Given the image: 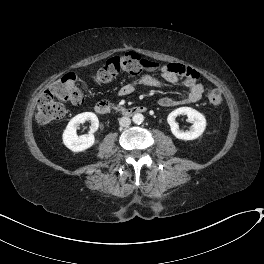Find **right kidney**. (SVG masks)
I'll list each match as a JSON object with an SVG mask.
<instances>
[{
    "label": "right kidney",
    "mask_w": 264,
    "mask_h": 264,
    "mask_svg": "<svg viewBox=\"0 0 264 264\" xmlns=\"http://www.w3.org/2000/svg\"><path fill=\"white\" fill-rule=\"evenodd\" d=\"M88 120L91 122L90 132L88 134L78 136L76 131L79 128L80 124ZM98 127L99 120L94 113H80L70 120L66 129L64 130L62 136L63 143L73 152L84 151L93 146L95 142L93 133L97 131Z\"/></svg>",
    "instance_id": "1"
}]
</instances>
